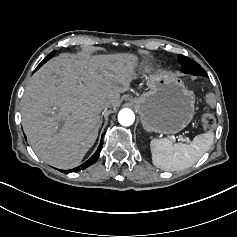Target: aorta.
Listing matches in <instances>:
<instances>
[{"instance_id": "762f6f07", "label": "aorta", "mask_w": 237, "mask_h": 237, "mask_svg": "<svg viewBox=\"0 0 237 237\" xmlns=\"http://www.w3.org/2000/svg\"><path fill=\"white\" fill-rule=\"evenodd\" d=\"M118 121L124 127L131 126L135 121V115L130 109H122L118 114Z\"/></svg>"}]
</instances>
